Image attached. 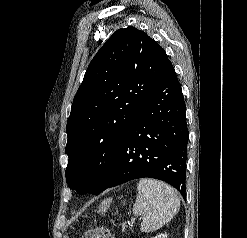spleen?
Returning <instances> with one entry per match:
<instances>
[{
    "instance_id": "obj_1",
    "label": "spleen",
    "mask_w": 247,
    "mask_h": 238,
    "mask_svg": "<svg viewBox=\"0 0 247 238\" xmlns=\"http://www.w3.org/2000/svg\"><path fill=\"white\" fill-rule=\"evenodd\" d=\"M137 198L133 214L142 216V232H152L168 223L178 212L177 192L166 183L144 178L137 184Z\"/></svg>"
}]
</instances>
